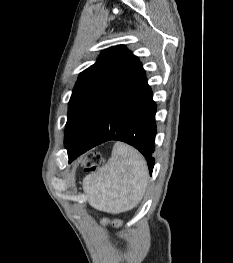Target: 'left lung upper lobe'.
<instances>
[{
	"label": "left lung upper lobe",
	"mask_w": 233,
	"mask_h": 263,
	"mask_svg": "<svg viewBox=\"0 0 233 263\" xmlns=\"http://www.w3.org/2000/svg\"><path fill=\"white\" fill-rule=\"evenodd\" d=\"M140 64L124 45L104 50L97 62L80 73L68 107L65 145H83L97 120Z\"/></svg>",
	"instance_id": "left-lung-upper-lobe-1"
}]
</instances>
